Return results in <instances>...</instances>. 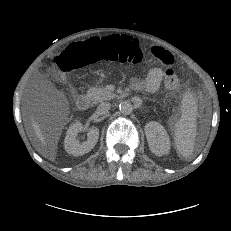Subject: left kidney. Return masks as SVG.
<instances>
[{
  "instance_id": "1",
  "label": "left kidney",
  "mask_w": 231,
  "mask_h": 231,
  "mask_svg": "<svg viewBox=\"0 0 231 231\" xmlns=\"http://www.w3.org/2000/svg\"><path fill=\"white\" fill-rule=\"evenodd\" d=\"M144 130L151 152L157 156L169 153L170 139L167 131L160 123L150 121L145 125Z\"/></svg>"
}]
</instances>
